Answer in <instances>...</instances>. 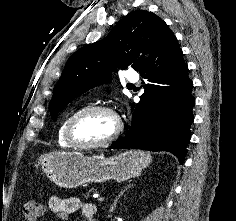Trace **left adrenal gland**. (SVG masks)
Listing matches in <instances>:
<instances>
[{
  "label": "left adrenal gland",
  "mask_w": 236,
  "mask_h": 221,
  "mask_svg": "<svg viewBox=\"0 0 236 221\" xmlns=\"http://www.w3.org/2000/svg\"><path fill=\"white\" fill-rule=\"evenodd\" d=\"M131 186H133V184H128L127 186L124 187L123 190L120 191L119 195L115 198V200H114V202H113V204H112V206H111V208H110V210H109L110 212H113V211L115 210L116 204H117L118 200H119L120 197L124 194V192H125L126 190H128Z\"/></svg>",
  "instance_id": "left-adrenal-gland-1"
}]
</instances>
